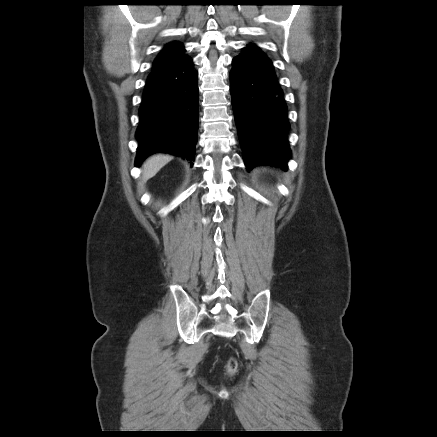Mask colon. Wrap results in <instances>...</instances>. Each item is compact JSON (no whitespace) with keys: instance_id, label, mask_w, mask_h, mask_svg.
<instances>
[{"instance_id":"1","label":"colon","mask_w":437,"mask_h":437,"mask_svg":"<svg viewBox=\"0 0 437 437\" xmlns=\"http://www.w3.org/2000/svg\"><path fill=\"white\" fill-rule=\"evenodd\" d=\"M238 363L235 358H230L227 362V372L229 374H234L237 370Z\"/></svg>"}]
</instances>
